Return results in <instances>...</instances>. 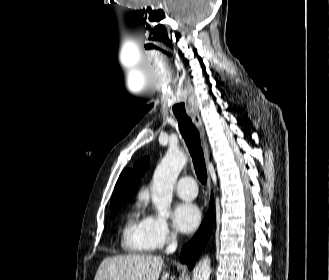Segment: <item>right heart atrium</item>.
<instances>
[{
	"label": "right heart atrium",
	"mask_w": 329,
	"mask_h": 280,
	"mask_svg": "<svg viewBox=\"0 0 329 280\" xmlns=\"http://www.w3.org/2000/svg\"><path fill=\"white\" fill-rule=\"evenodd\" d=\"M149 237L152 248L161 249L174 242L176 233L164 218L159 215H150Z\"/></svg>",
	"instance_id": "right-heart-atrium-1"
}]
</instances>
